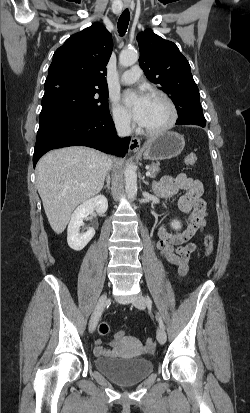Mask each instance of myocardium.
Returning a JSON list of instances; mask_svg holds the SVG:
<instances>
[{
    "label": "myocardium",
    "instance_id": "obj_1",
    "mask_svg": "<svg viewBox=\"0 0 250 413\" xmlns=\"http://www.w3.org/2000/svg\"><path fill=\"white\" fill-rule=\"evenodd\" d=\"M150 97L158 99V100L162 101L163 103H165L167 105V107L170 111V118H169L168 122L160 128L147 129V128L141 127V131L144 134L149 135V136H159V135H162V134L168 132L170 129H172L174 127V125H175V123L178 119V111H177L176 105L174 104L172 99L168 95H166L165 93L160 92V91H153V92H151Z\"/></svg>",
    "mask_w": 250,
    "mask_h": 413
}]
</instances>
